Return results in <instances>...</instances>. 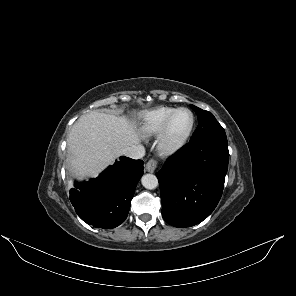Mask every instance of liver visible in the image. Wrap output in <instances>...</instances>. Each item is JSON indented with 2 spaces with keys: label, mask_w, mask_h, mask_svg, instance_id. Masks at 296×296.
<instances>
[{
  "label": "liver",
  "mask_w": 296,
  "mask_h": 296,
  "mask_svg": "<svg viewBox=\"0 0 296 296\" xmlns=\"http://www.w3.org/2000/svg\"><path fill=\"white\" fill-rule=\"evenodd\" d=\"M139 143L134 122L92 111L81 116L68 135V167L78 178L96 177L113 164L124 149Z\"/></svg>",
  "instance_id": "obj_1"
}]
</instances>
